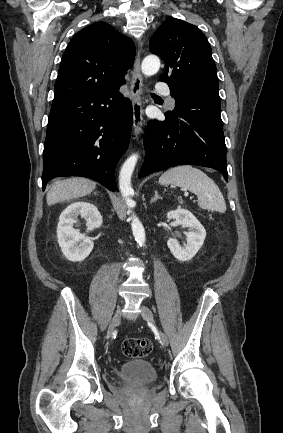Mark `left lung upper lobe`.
<instances>
[{
	"mask_svg": "<svg viewBox=\"0 0 283 433\" xmlns=\"http://www.w3.org/2000/svg\"><path fill=\"white\" fill-rule=\"evenodd\" d=\"M149 48L165 61L159 80L168 84L176 101L168 113L206 119L223 128L217 70L206 36L190 23L169 18L153 34Z\"/></svg>",
	"mask_w": 283,
	"mask_h": 433,
	"instance_id": "1",
	"label": "left lung upper lobe"
}]
</instances>
